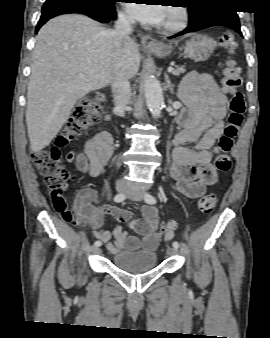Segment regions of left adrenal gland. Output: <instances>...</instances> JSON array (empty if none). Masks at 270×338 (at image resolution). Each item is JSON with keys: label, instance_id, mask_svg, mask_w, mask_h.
Masks as SVG:
<instances>
[{"label": "left adrenal gland", "instance_id": "1", "mask_svg": "<svg viewBox=\"0 0 270 338\" xmlns=\"http://www.w3.org/2000/svg\"><path fill=\"white\" fill-rule=\"evenodd\" d=\"M165 81H166V87L170 90L172 94H174V85L171 83L169 76L167 73H165Z\"/></svg>", "mask_w": 270, "mask_h": 338}]
</instances>
